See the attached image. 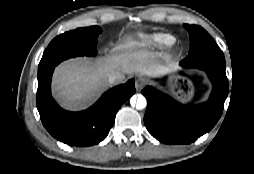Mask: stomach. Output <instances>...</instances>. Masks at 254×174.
<instances>
[{"instance_id":"stomach-1","label":"stomach","mask_w":254,"mask_h":174,"mask_svg":"<svg viewBox=\"0 0 254 174\" xmlns=\"http://www.w3.org/2000/svg\"><path fill=\"white\" fill-rule=\"evenodd\" d=\"M168 86L177 93L180 94V98L183 101H188L193 96V86L191 81L186 80L183 77H172L168 82Z\"/></svg>"}]
</instances>
